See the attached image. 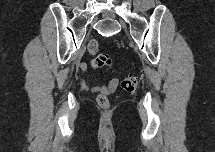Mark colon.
Returning a JSON list of instances; mask_svg holds the SVG:
<instances>
[{
  "label": "colon",
  "mask_w": 215,
  "mask_h": 152,
  "mask_svg": "<svg viewBox=\"0 0 215 152\" xmlns=\"http://www.w3.org/2000/svg\"><path fill=\"white\" fill-rule=\"evenodd\" d=\"M98 42L96 40H91L88 44V51L90 54L94 55L91 60V65L94 68H110L112 61L110 57L106 54L96 55L98 52ZM96 55V56H95ZM138 83L135 77L131 75H126L121 82V87L126 92H134L137 89ZM97 102L102 107H107L109 104L108 97L106 95H99L97 97Z\"/></svg>",
  "instance_id": "colon-1"
}]
</instances>
